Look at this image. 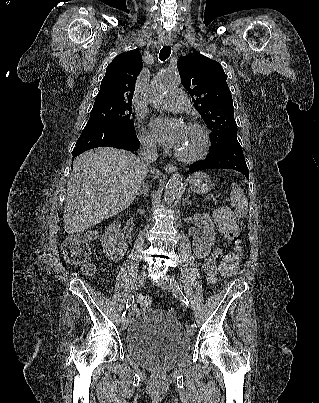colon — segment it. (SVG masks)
Instances as JSON below:
<instances>
[{
    "label": "colon",
    "mask_w": 319,
    "mask_h": 403,
    "mask_svg": "<svg viewBox=\"0 0 319 403\" xmlns=\"http://www.w3.org/2000/svg\"><path fill=\"white\" fill-rule=\"evenodd\" d=\"M218 224L223 237L232 245L230 251L221 260L220 273L231 275L242 261L240 227L233 214L225 208L218 210ZM88 240L89 235L86 232L73 234L64 241L62 251L68 264L80 267L85 274L92 275L95 268L90 262ZM137 303L142 309L150 308L152 304L146 294H140L137 297Z\"/></svg>",
    "instance_id": "colon-1"
}]
</instances>
